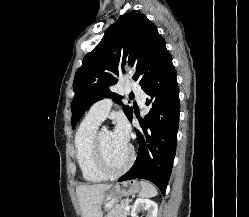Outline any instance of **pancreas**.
I'll return each mask as SVG.
<instances>
[{"instance_id": "cf45deb5", "label": "pancreas", "mask_w": 249, "mask_h": 217, "mask_svg": "<svg viewBox=\"0 0 249 217\" xmlns=\"http://www.w3.org/2000/svg\"><path fill=\"white\" fill-rule=\"evenodd\" d=\"M127 204V200H122L109 211L106 217H127L129 214V211L125 210Z\"/></svg>"}]
</instances>
